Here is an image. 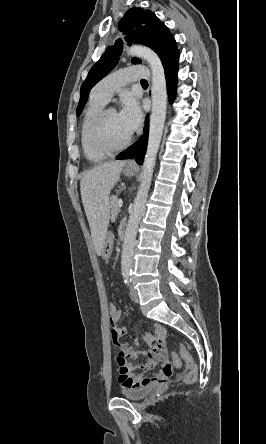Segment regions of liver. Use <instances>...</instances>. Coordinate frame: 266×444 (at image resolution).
Returning a JSON list of instances; mask_svg holds the SVG:
<instances>
[{"label":"liver","instance_id":"1","mask_svg":"<svg viewBox=\"0 0 266 444\" xmlns=\"http://www.w3.org/2000/svg\"><path fill=\"white\" fill-rule=\"evenodd\" d=\"M125 164L124 161L101 164L86 172L80 182L82 203L98 255L102 254L110 220L109 195Z\"/></svg>","mask_w":266,"mask_h":444}]
</instances>
